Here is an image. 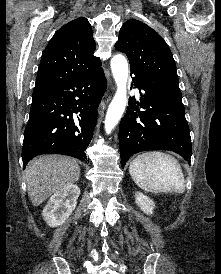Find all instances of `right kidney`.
<instances>
[{"instance_id": "1", "label": "right kidney", "mask_w": 221, "mask_h": 274, "mask_svg": "<svg viewBox=\"0 0 221 274\" xmlns=\"http://www.w3.org/2000/svg\"><path fill=\"white\" fill-rule=\"evenodd\" d=\"M80 189L71 184L52 195L45 206L42 216L47 224L56 227L63 224L76 208Z\"/></svg>"}]
</instances>
